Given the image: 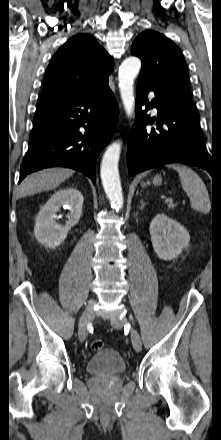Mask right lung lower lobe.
I'll return each instance as SVG.
<instances>
[{
  "label": "right lung lower lobe",
  "mask_w": 221,
  "mask_h": 440,
  "mask_svg": "<svg viewBox=\"0 0 221 440\" xmlns=\"http://www.w3.org/2000/svg\"><path fill=\"white\" fill-rule=\"evenodd\" d=\"M118 114L109 87L96 94L39 102L19 182L32 172L62 166L82 172L95 184L96 159L113 136Z\"/></svg>",
  "instance_id": "obj_1"
}]
</instances>
